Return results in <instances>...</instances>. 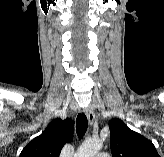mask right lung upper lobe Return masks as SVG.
<instances>
[{
	"instance_id": "obj_1",
	"label": "right lung upper lobe",
	"mask_w": 164,
	"mask_h": 157,
	"mask_svg": "<svg viewBox=\"0 0 164 157\" xmlns=\"http://www.w3.org/2000/svg\"><path fill=\"white\" fill-rule=\"evenodd\" d=\"M73 130L71 119H55L22 150L19 157H60L65 142L73 137Z\"/></svg>"
}]
</instances>
